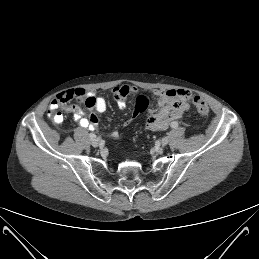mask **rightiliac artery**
<instances>
[{
  "label": "right iliac artery",
  "mask_w": 259,
  "mask_h": 259,
  "mask_svg": "<svg viewBox=\"0 0 259 259\" xmlns=\"http://www.w3.org/2000/svg\"><path fill=\"white\" fill-rule=\"evenodd\" d=\"M89 137H90L91 139H94V138H96V135H95L94 133H90V134H89Z\"/></svg>",
  "instance_id": "right-iliac-artery-1"
}]
</instances>
